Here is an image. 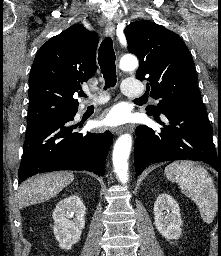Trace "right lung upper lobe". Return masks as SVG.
Segmentation results:
<instances>
[{
    "label": "right lung upper lobe",
    "instance_id": "obj_1",
    "mask_svg": "<svg viewBox=\"0 0 221 256\" xmlns=\"http://www.w3.org/2000/svg\"><path fill=\"white\" fill-rule=\"evenodd\" d=\"M96 32L73 25L38 51L29 76L28 117L48 112L76 113L73 98L96 72Z\"/></svg>",
    "mask_w": 221,
    "mask_h": 256
}]
</instances>
